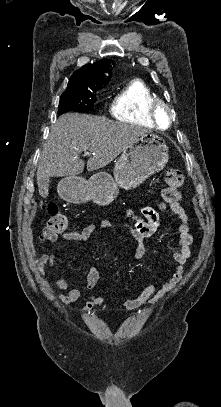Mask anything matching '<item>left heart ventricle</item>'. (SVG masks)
Returning <instances> with one entry per match:
<instances>
[{"label":"left heart ventricle","instance_id":"1","mask_svg":"<svg viewBox=\"0 0 221 407\" xmlns=\"http://www.w3.org/2000/svg\"><path fill=\"white\" fill-rule=\"evenodd\" d=\"M159 124L161 127H165L167 124V115L164 111L159 114Z\"/></svg>","mask_w":221,"mask_h":407}]
</instances>
